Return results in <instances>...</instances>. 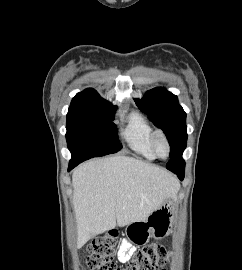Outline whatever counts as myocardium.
Masks as SVG:
<instances>
[{
  "instance_id": "f54148a6",
  "label": "myocardium",
  "mask_w": 242,
  "mask_h": 270,
  "mask_svg": "<svg viewBox=\"0 0 242 270\" xmlns=\"http://www.w3.org/2000/svg\"><path fill=\"white\" fill-rule=\"evenodd\" d=\"M159 141H163L166 145L167 153L165 156L160 155V153L158 151L157 144ZM151 148H152L154 155L157 158L166 159L167 157H169V155L171 153V144H170V141H169L167 135L163 131L159 130V131L154 132V134L152 136V140H151Z\"/></svg>"
}]
</instances>
